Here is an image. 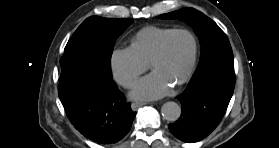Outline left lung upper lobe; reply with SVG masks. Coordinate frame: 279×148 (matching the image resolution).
Segmentation results:
<instances>
[{"mask_svg":"<svg viewBox=\"0 0 279 148\" xmlns=\"http://www.w3.org/2000/svg\"><path fill=\"white\" fill-rule=\"evenodd\" d=\"M160 18H178L194 28L201 44V56L195 75L222 62H234L233 52L226 34L218 25L194 8H183Z\"/></svg>","mask_w":279,"mask_h":148,"instance_id":"obj_1","label":"left lung upper lobe"}]
</instances>
